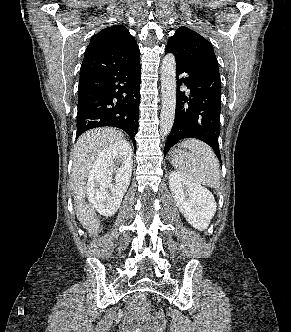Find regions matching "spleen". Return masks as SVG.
<instances>
[{
  "label": "spleen",
  "instance_id": "3e777b00",
  "mask_svg": "<svg viewBox=\"0 0 291 332\" xmlns=\"http://www.w3.org/2000/svg\"><path fill=\"white\" fill-rule=\"evenodd\" d=\"M188 149L189 152H184ZM172 165L186 179L212 188L220 186L219 161L213 150L198 139L183 141L172 155Z\"/></svg>",
  "mask_w": 291,
  "mask_h": 332
}]
</instances>
